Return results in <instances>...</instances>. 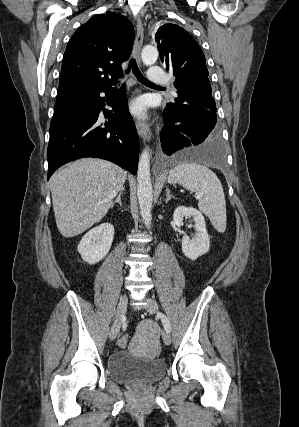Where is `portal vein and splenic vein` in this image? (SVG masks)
<instances>
[{
	"instance_id": "18ae733b",
	"label": "portal vein and splenic vein",
	"mask_w": 299,
	"mask_h": 427,
	"mask_svg": "<svg viewBox=\"0 0 299 427\" xmlns=\"http://www.w3.org/2000/svg\"><path fill=\"white\" fill-rule=\"evenodd\" d=\"M202 196L199 194V195H196V199H200Z\"/></svg>"
}]
</instances>
